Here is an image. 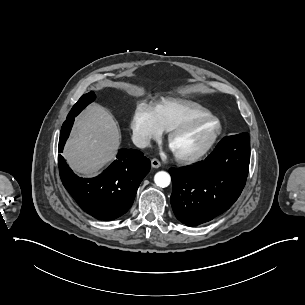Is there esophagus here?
Listing matches in <instances>:
<instances>
[{
  "label": "esophagus",
  "mask_w": 305,
  "mask_h": 305,
  "mask_svg": "<svg viewBox=\"0 0 305 305\" xmlns=\"http://www.w3.org/2000/svg\"><path fill=\"white\" fill-rule=\"evenodd\" d=\"M151 165L153 168H159L161 166V163L158 159L154 158L151 160Z\"/></svg>",
  "instance_id": "34e87169"
}]
</instances>
